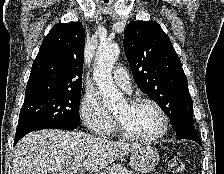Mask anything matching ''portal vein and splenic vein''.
<instances>
[{
    "mask_svg": "<svg viewBox=\"0 0 224 174\" xmlns=\"http://www.w3.org/2000/svg\"><path fill=\"white\" fill-rule=\"evenodd\" d=\"M83 157H80L79 160L82 161Z\"/></svg>",
    "mask_w": 224,
    "mask_h": 174,
    "instance_id": "18ae733b",
    "label": "portal vein and splenic vein"
}]
</instances>
